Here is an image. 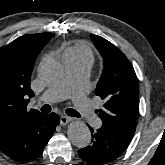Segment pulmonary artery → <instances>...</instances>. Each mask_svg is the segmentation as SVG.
<instances>
[{
  "label": "pulmonary artery",
  "instance_id": "e3ab8cb5",
  "mask_svg": "<svg viewBox=\"0 0 165 165\" xmlns=\"http://www.w3.org/2000/svg\"><path fill=\"white\" fill-rule=\"evenodd\" d=\"M68 77L56 86L47 89L38 99L42 103H55L71 97L75 107L88 123L94 127L101 125L100 119L94 114L92 106L85 96L91 63L67 62Z\"/></svg>",
  "mask_w": 165,
  "mask_h": 165
}]
</instances>
